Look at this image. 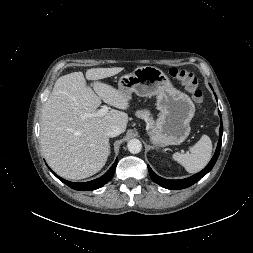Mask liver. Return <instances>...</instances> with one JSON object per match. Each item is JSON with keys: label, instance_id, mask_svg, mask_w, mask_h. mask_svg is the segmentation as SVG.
Segmentation results:
<instances>
[{"label": "liver", "instance_id": "obj_1", "mask_svg": "<svg viewBox=\"0 0 253 253\" xmlns=\"http://www.w3.org/2000/svg\"><path fill=\"white\" fill-rule=\"evenodd\" d=\"M123 67L91 68L86 79L95 81L93 90L82 72L61 76L45 102L41 116L40 144L49 166L66 179H84L96 174L110 154L106 131L117 125L124 132L130 98L119 89L98 80L114 76ZM101 100L120 110L97 114Z\"/></svg>", "mask_w": 253, "mask_h": 253}]
</instances>
